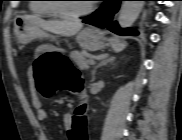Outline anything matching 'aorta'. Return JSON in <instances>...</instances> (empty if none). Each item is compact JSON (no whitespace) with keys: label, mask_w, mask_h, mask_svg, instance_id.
<instances>
[{"label":"aorta","mask_w":182,"mask_h":140,"mask_svg":"<svg viewBox=\"0 0 182 140\" xmlns=\"http://www.w3.org/2000/svg\"><path fill=\"white\" fill-rule=\"evenodd\" d=\"M144 1H124L119 13L118 23L121 28L131 27L140 14Z\"/></svg>","instance_id":"aorta-1"}]
</instances>
